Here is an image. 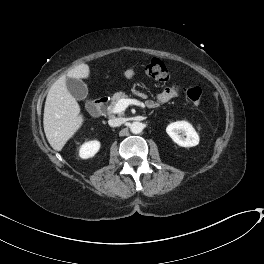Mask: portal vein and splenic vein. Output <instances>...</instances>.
Here are the masks:
<instances>
[{
	"mask_svg": "<svg viewBox=\"0 0 264 264\" xmlns=\"http://www.w3.org/2000/svg\"><path fill=\"white\" fill-rule=\"evenodd\" d=\"M140 104H141V102L136 100V99L123 98L117 102V104L115 105V107L112 110V113L119 114V113L123 112L129 105L139 106Z\"/></svg>",
	"mask_w": 264,
	"mask_h": 264,
	"instance_id": "18ae733b",
	"label": "portal vein and splenic vein"
}]
</instances>
